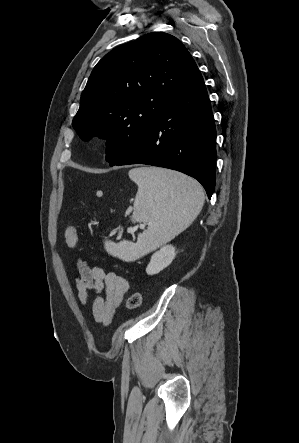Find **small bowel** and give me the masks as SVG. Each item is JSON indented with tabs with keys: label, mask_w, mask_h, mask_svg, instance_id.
<instances>
[{
	"label": "small bowel",
	"mask_w": 299,
	"mask_h": 443,
	"mask_svg": "<svg viewBox=\"0 0 299 443\" xmlns=\"http://www.w3.org/2000/svg\"><path fill=\"white\" fill-rule=\"evenodd\" d=\"M79 275L76 278L80 302L88 305L89 294H94L92 314L96 322L112 323L116 309L129 289L127 280L114 271H105L101 266H90L86 261L77 262Z\"/></svg>",
	"instance_id": "c3829d8e"
}]
</instances>
